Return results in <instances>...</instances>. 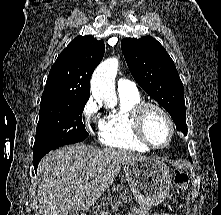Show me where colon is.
<instances>
[{"instance_id": "5ec220e1", "label": "colon", "mask_w": 221, "mask_h": 215, "mask_svg": "<svg viewBox=\"0 0 221 215\" xmlns=\"http://www.w3.org/2000/svg\"><path fill=\"white\" fill-rule=\"evenodd\" d=\"M174 183L178 194L183 195L189 184V173L185 168H177L175 170Z\"/></svg>"}]
</instances>
